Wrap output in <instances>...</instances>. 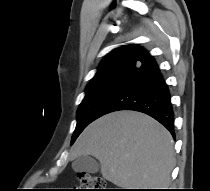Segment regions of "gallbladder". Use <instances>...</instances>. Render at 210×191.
<instances>
[{"label": "gallbladder", "mask_w": 210, "mask_h": 191, "mask_svg": "<svg viewBox=\"0 0 210 191\" xmlns=\"http://www.w3.org/2000/svg\"><path fill=\"white\" fill-rule=\"evenodd\" d=\"M72 168L75 172L97 173L100 169L99 163L91 156L83 155L77 157L73 163Z\"/></svg>", "instance_id": "bac80fb5"}]
</instances>
